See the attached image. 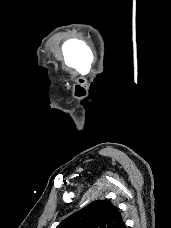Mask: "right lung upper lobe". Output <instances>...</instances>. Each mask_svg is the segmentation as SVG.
I'll return each mask as SVG.
<instances>
[{
	"mask_svg": "<svg viewBox=\"0 0 171 228\" xmlns=\"http://www.w3.org/2000/svg\"><path fill=\"white\" fill-rule=\"evenodd\" d=\"M56 228H126L116 206L97 200L63 220Z\"/></svg>",
	"mask_w": 171,
	"mask_h": 228,
	"instance_id": "obj_1",
	"label": "right lung upper lobe"
}]
</instances>
